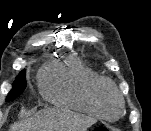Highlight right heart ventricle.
Listing matches in <instances>:
<instances>
[{
  "mask_svg": "<svg viewBox=\"0 0 151 131\" xmlns=\"http://www.w3.org/2000/svg\"><path fill=\"white\" fill-rule=\"evenodd\" d=\"M105 80L77 58L48 64L40 74L42 96L49 102L100 118L95 104L99 84Z\"/></svg>",
  "mask_w": 151,
  "mask_h": 131,
  "instance_id": "obj_1",
  "label": "right heart ventricle"
}]
</instances>
